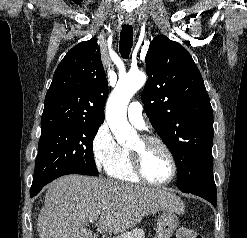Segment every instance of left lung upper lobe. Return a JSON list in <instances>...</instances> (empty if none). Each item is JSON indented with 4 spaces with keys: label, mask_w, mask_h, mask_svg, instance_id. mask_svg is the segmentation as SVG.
I'll list each match as a JSON object with an SVG mask.
<instances>
[{
    "label": "left lung upper lobe",
    "mask_w": 247,
    "mask_h": 238,
    "mask_svg": "<svg viewBox=\"0 0 247 238\" xmlns=\"http://www.w3.org/2000/svg\"><path fill=\"white\" fill-rule=\"evenodd\" d=\"M148 81L142 102L152 126L170 149L179 188L213 177V110L190 53L164 35L146 54Z\"/></svg>",
    "instance_id": "left-lung-upper-lobe-1"
}]
</instances>
